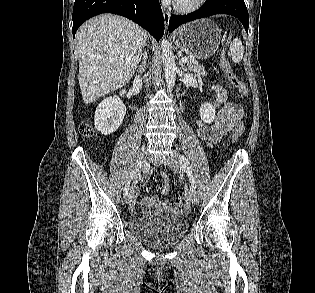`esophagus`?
<instances>
[{
    "label": "esophagus",
    "mask_w": 315,
    "mask_h": 293,
    "mask_svg": "<svg viewBox=\"0 0 315 293\" xmlns=\"http://www.w3.org/2000/svg\"><path fill=\"white\" fill-rule=\"evenodd\" d=\"M163 18H164V25L165 28H168L169 21H170V13L167 10H163Z\"/></svg>",
    "instance_id": "obj_1"
}]
</instances>
